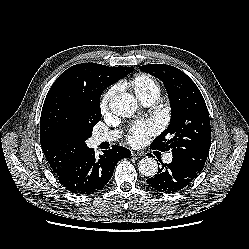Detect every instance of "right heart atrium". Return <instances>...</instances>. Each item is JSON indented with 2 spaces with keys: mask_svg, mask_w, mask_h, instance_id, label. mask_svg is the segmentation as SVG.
<instances>
[{
  "mask_svg": "<svg viewBox=\"0 0 249 249\" xmlns=\"http://www.w3.org/2000/svg\"><path fill=\"white\" fill-rule=\"evenodd\" d=\"M117 92V87H110L101 97L99 102V109L102 115H106L109 112V104L113 96Z\"/></svg>",
  "mask_w": 249,
  "mask_h": 249,
  "instance_id": "obj_1",
  "label": "right heart atrium"
}]
</instances>
